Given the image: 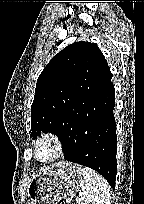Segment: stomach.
I'll use <instances>...</instances> for the list:
<instances>
[{"instance_id": "0dacf381", "label": "stomach", "mask_w": 144, "mask_h": 204, "mask_svg": "<svg viewBox=\"0 0 144 204\" xmlns=\"http://www.w3.org/2000/svg\"><path fill=\"white\" fill-rule=\"evenodd\" d=\"M82 168L71 163H56L40 170L28 187L29 204H58L71 199L80 189Z\"/></svg>"}]
</instances>
